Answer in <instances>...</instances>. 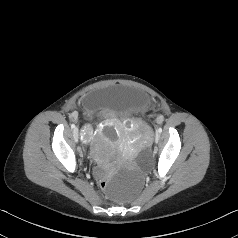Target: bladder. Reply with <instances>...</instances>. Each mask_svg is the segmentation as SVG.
<instances>
[{
    "mask_svg": "<svg viewBox=\"0 0 238 238\" xmlns=\"http://www.w3.org/2000/svg\"><path fill=\"white\" fill-rule=\"evenodd\" d=\"M149 104L146 95L124 86H111L84 97V105L91 116L107 113L118 117L143 114Z\"/></svg>",
    "mask_w": 238,
    "mask_h": 238,
    "instance_id": "1",
    "label": "bladder"
}]
</instances>
